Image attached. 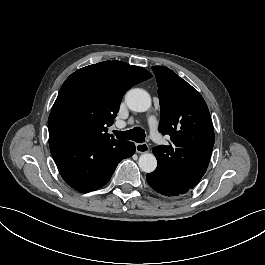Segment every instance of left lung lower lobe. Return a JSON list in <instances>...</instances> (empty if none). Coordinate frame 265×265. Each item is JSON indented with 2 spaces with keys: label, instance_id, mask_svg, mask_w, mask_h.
I'll use <instances>...</instances> for the list:
<instances>
[{
  "label": "left lung lower lobe",
  "instance_id": "obj_1",
  "mask_svg": "<svg viewBox=\"0 0 265 265\" xmlns=\"http://www.w3.org/2000/svg\"><path fill=\"white\" fill-rule=\"evenodd\" d=\"M147 182L153 190L165 196H179L192 189L177 177L158 167L154 172L147 174Z\"/></svg>",
  "mask_w": 265,
  "mask_h": 265
}]
</instances>
